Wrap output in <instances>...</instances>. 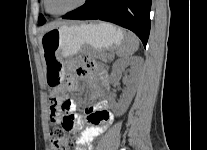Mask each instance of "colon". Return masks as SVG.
<instances>
[{
  "label": "colon",
  "mask_w": 207,
  "mask_h": 150,
  "mask_svg": "<svg viewBox=\"0 0 207 150\" xmlns=\"http://www.w3.org/2000/svg\"><path fill=\"white\" fill-rule=\"evenodd\" d=\"M62 94L56 93L50 96L51 111L50 124L55 125L51 135L52 150H77V138L72 133V120L67 111L70 100L63 99Z\"/></svg>",
  "instance_id": "5ec220e1"
}]
</instances>
